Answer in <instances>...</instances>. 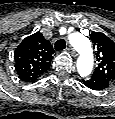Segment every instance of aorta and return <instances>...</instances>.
<instances>
[{
	"label": "aorta",
	"instance_id": "aorta-1",
	"mask_svg": "<svg viewBox=\"0 0 115 119\" xmlns=\"http://www.w3.org/2000/svg\"><path fill=\"white\" fill-rule=\"evenodd\" d=\"M69 42L79 53L77 59V70L80 76H88L93 69V49L91 42L80 33H72L69 35Z\"/></svg>",
	"mask_w": 115,
	"mask_h": 119
}]
</instances>
